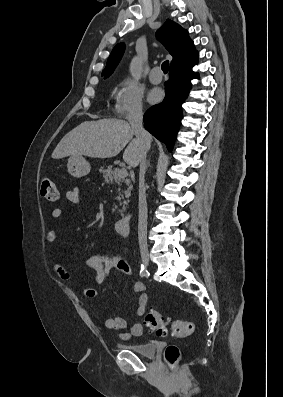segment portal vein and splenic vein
<instances>
[{"label":"portal vein and splenic vein","mask_w":283,"mask_h":397,"mask_svg":"<svg viewBox=\"0 0 283 397\" xmlns=\"http://www.w3.org/2000/svg\"><path fill=\"white\" fill-rule=\"evenodd\" d=\"M128 175L127 169L126 168H121L118 171V177L119 178H125Z\"/></svg>","instance_id":"18ae733b"}]
</instances>
